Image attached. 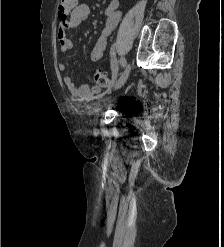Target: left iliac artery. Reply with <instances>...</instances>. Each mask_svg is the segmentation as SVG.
Segmentation results:
<instances>
[{
  "label": "left iliac artery",
  "instance_id": "obj_1",
  "mask_svg": "<svg viewBox=\"0 0 224 247\" xmlns=\"http://www.w3.org/2000/svg\"><path fill=\"white\" fill-rule=\"evenodd\" d=\"M120 63H121V66L124 68L126 66V59L124 57H121Z\"/></svg>",
  "mask_w": 224,
  "mask_h": 247
}]
</instances>
